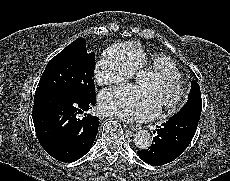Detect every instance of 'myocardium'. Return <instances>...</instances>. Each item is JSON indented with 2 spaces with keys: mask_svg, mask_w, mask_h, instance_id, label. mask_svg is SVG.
<instances>
[{
  "mask_svg": "<svg viewBox=\"0 0 230 181\" xmlns=\"http://www.w3.org/2000/svg\"><path fill=\"white\" fill-rule=\"evenodd\" d=\"M162 78L168 79L172 82L175 93L171 99L157 103L158 108H170L175 106L183 95V89L179 81V73L177 72L175 66L165 63L159 64L156 70L150 75L148 74V77H146L145 91L147 90L149 92L152 90Z\"/></svg>",
  "mask_w": 230,
  "mask_h": 181,
  "instance_id": "f54148a6",
  "label": "myocardium"
}]
</instances>
